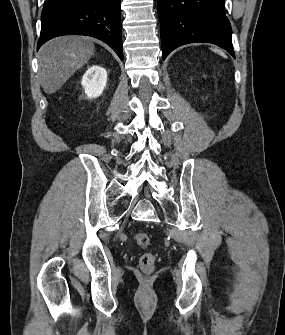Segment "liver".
I'll list each match as a JSON object with an SVG mask.
<instances>
[{"label": "liver", "instance_id": "6515ba94", "mask_svg": "<svg viewBox=\"0 0 285 335\" xmlns=\"http://www.w3.org/2000/svg\"><path fill=\"white\" fill-rule=\"evenodd\" d=\"M93 54L94 44L86 36H62L42 46L38 58L44 92L55 94Z\"/></svg>", "mask_w": 285, "mask_h": 335}]
</instances>
